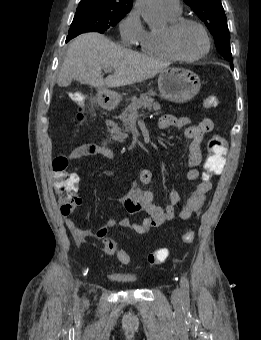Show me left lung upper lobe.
<instances>
[{"label":"left lung upper lobe","instance_id":"left-lung-upper-lobe-1","mask_svg":"<svg viewBox=\"0 0 261 340\" xmlns=\"http://www.w3.org/2000/svg\"><path fill=\"white\" fill-rule=\"evenodd\" d=\"M213 35L218 52L233 64L230 34L221 0H184Z\"/></svg>","mask_w":261,"mask_h":340}]
</instances>
